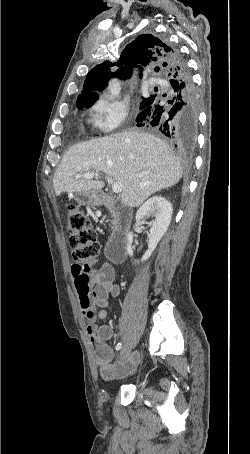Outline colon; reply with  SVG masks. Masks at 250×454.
Wrapping results in <instances>:
<instances>
[{
    "mask_svg": "<svg viewBox=\"0 0 250 454\" xmlns=\"http://www.w3.org/2000/svg\"><path fill=\"white\" fill-rule=\"evenodd\" d=\"M67 230L75 263L82 266L95 264L99 256L100 245L89 219L77 205L71 204L67 207ZM94 316L92 309L86 310V319H93Z\"/></svg>",
    "mask_w": 250,
    "mask_h": 454,
    "instance_id": "1",
    "label": "colon"
}]
</instances>
